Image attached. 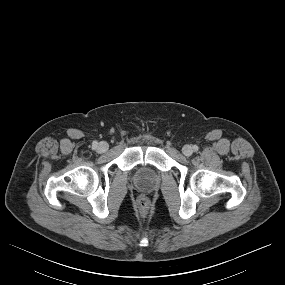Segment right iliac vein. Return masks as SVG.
Returning <instances> with one entry per match:
<instances>
[{
  "label": "right iliac vein",
  "mask_w": 285,
  "mask_h": 285,
  "mask_svg": "<svg viewBox=\"0 0 285 285\" xmlns=\"http://www.w3.org/2000/svg\"><path fill=\"white\" fill-rule=\"evenodd\" d=\"M109 148V145L107 142H100L97 146V151L100 152V153H104L108 150Z\"/></svg>",
  "instance_id": "obj_1"
}]
</instances>
